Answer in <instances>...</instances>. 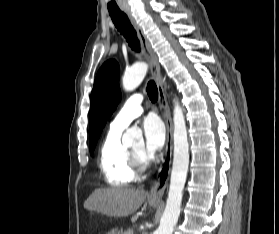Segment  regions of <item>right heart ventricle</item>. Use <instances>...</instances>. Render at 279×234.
Instances as JSON below:
<instances>
[{"label": "right heart ventricle", "instance_id": "right-heart-ventricle-1", "mask_svg": "<svg viewBox=\"0 0 279 234\" xmlns=\"http://www.w3.org/2000/svg\"><path fill=\"white\" fill-rule=\"evenodd\" d=\"M121 132L110 129L99 151V165L104 179L109 185L117 187L128 185L137 178L130 151L121 142Z\"/></svg>", "mask_w": 279, "mask_h": 234}]
</instances>
